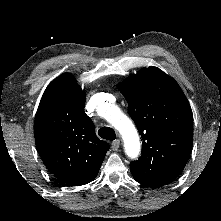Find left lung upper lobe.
Returning a JSON list of instances; mask_svg holds the SVG:
<instances>
[{
    "instance_id": "obj_1",
    "label": "left lung upper lobe",
    "mask_w": 221,
    "mask_h": 221,
    "mask_svg": "<svg viewBox=\"0 0 221 221\" xmlns=\"http://www.w3.org/2000/svg\"><path fill=\"white\" fill-rule=\"evenodd\" d=\"M142 138L141 157L130 163L134 179L160 187L184 169L192 147V110L177 82L157 67L117 85Z\"/></svg>"
}]
</instances>
